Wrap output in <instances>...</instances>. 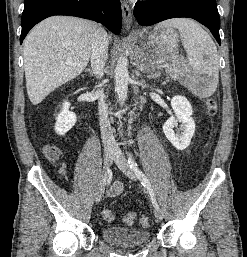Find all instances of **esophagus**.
I'll list each match as a JSON object with an SVG mask.
<instances>
[{
	"mask_svg": "<svg viewBox=\"0 0 247 257\" xmlns=\"http://www.w3.org/2000/svg\"><path fill=\"white\" fill-rule=\"evenodd\" d=\"M121 9H122V16H123V23L127 30L131 29L132 27V12L130 6L127 2H121Z\"/></svg>",
	"mask_w": 247,
	"mask_h": 257,
	"instance_id": "34e87169",
	"label": "esophagus"
}]
</instances>
